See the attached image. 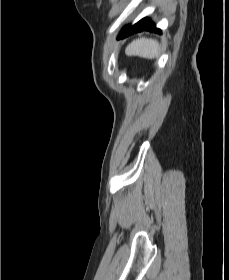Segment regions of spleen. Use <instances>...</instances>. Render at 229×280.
Instances as JSON below:
<instances>
[{
  "instance_id": "obj_1",
  "label": "spleen",
  "mask_w": 229,
  "mask_h": 280,
  "mask_svg": "<svg viewBox=\"0 0 229 280\" xmlns=\"http://www.w3.org/2000/svg\"><path fill=\"white\" fill-rule=\"evenodd\" d=\"M160 51L159 44L156 40L140 38L134 40L128 47L127 52L130 55L153 59L158 56Z\"/></svg>"
}]
</instances>
